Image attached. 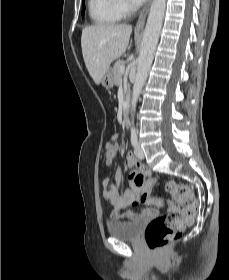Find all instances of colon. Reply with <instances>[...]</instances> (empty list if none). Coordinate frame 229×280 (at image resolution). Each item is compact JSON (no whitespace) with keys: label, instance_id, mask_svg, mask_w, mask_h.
<instances>
[{"label":"colon","instance_id":"1","mask_svg":"<svg viewBox=\"0 0 229 280\" xmlns=\"http://www.w3.org/2000/svg\"><path fill=\"white\" fill-rule=\"evenodd\" d=\"M103 153L108 163L114 157V146L111 143H106L103 147ZM137 185L143 183H151L156 185L158 180L147 174L139 173L134 179ZM166 189L176 202L179 210V215L168 214L154 218L145 230L146 242L150 250L158 253L163 250L169 243L177 238L184 230L185 226L193 220L199 211V202L196 199L191 186L170 181L166 184ZM134 201H138V195L133 197ZM153 205H161L162 201L155 198L151 201Z\"/></svg>","mask_w":229,"mask_h":280}]
</instances>
